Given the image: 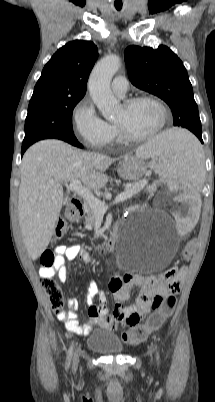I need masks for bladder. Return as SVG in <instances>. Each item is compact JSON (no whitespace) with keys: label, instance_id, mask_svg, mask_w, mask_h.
Wrapping results in <instances>:
<instances>
[{"label":"bladder","instance_id":"obj_1","mask_svg":"<svg viewBox=\"0 0 215 402\" xmlns=\"http://www.w3.org/2000/svg\"><path fill=\"white\" fill-rule=\"evenodd\" d=\"M88 348L101 354H118L123 351L120 338L111 330L96 329L87 339Z\"/></svg>","mask_w":215,"mask_h":402}]
</instances>
